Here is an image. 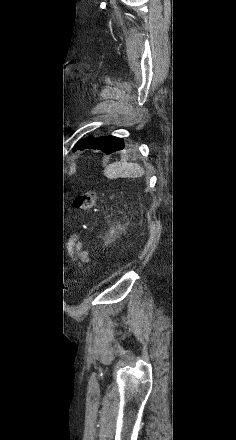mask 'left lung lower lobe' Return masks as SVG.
<instances>
[{
    "mask_svg": "<svg viewBox=\"0 0 236 440\" xmlns=\"http://www.w3.org/2000/svg\"><path fill=\"white\" fill-rule=\"evenodd\" d=\"M86 148L98 149L110 154L112 152L122 150L124 148V142L121 138L113 136L99 137L89 140L85 139L77 144L75 150H84Z\"/></svg>",
    "mask_w": 236,
    "mask_h": 440,
    "instance_id": "obj_1",
    "label": "left lung lower lobe"
}]
</instances>
